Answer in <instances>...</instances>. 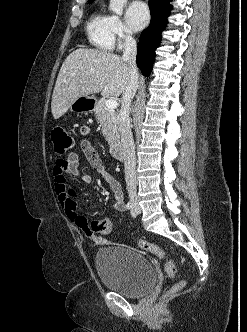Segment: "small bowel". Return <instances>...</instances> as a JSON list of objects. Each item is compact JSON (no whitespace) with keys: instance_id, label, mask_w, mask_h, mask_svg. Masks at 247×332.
Wrapping results in <instances>:
<instances>
[{"instance_id":"c3829d8e","label":"small bowel","mask_w":247,"mask_h":332,"mask_svg":"<svg viewBox=\"0 0 247 332\" xmlns=\"http://www.w3.org/2000/svg\"><path fill=\"white\" fill-rule=\"evenodd\" d=\"M80 135L83 140L80 143V148L83 156L88 164L96 169L105 182L109 185L113 202L112 206L115 211L122 212L125 210L124 195L120 183L114 179L104 168L99 154L91 145L87 137L90 134V128L83 125L79 129ZM80 155L77 151L69 153L66 159H58L55 162L53 169L54 188L58 200L64 209L69 220L74 223L91 241H96L97 237L92 230L87 219L77 212L76 202L74 200L75 192L67 185V176L71 175L78 178L83 183H90L92 177L89 173L83 172L79 169Z\"/></svg>"}]
</instances>
